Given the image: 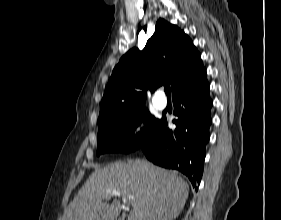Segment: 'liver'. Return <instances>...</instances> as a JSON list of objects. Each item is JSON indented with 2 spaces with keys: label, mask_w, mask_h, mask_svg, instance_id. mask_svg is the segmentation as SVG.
<instances>
[{
  "label": "liver",
  "mask_w": 281,
  "mask_h": 220,
  "mask_svg": "<svg viewBox=\"0 0 281 220\" xmlns=\"http://www.w3.org/2000/svg\"><path fill=\"white\" fill-rule=\"evenodd\" d=\"M133 196L128 220H173L182 211L188 184L176 171L146 160L115 162L96 169L64 211L63 220H116L121 208L115 198L103 202L107 191Z\"/></svg>",
  "instance_id": "6515ba94"
}]
</instances>
